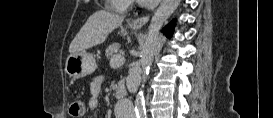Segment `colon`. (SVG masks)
Masks as SVG:
<instances>
[{
  "instance_id": "1",
  "label": "colon",
  "mask_w": 273,
  "mask_h": 118,
  "mask_svg": "<svg viewBox=\"0 0 273 118\" xmlns=\"http://www.w3.org/2000/svg\"><path fill=\"white\" fill-rule=\"evenodd\" d=\"M84 102L78 96H75L70 102V114L73 117H81L84 114Z\"/></svg>"
}]
</instances>
